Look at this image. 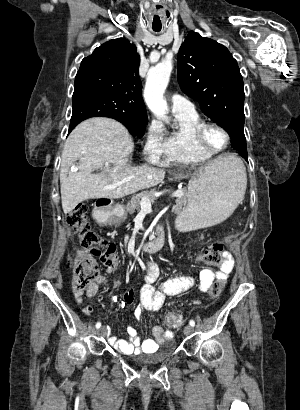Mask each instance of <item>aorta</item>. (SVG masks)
<instances>
[{"label": "aorta", "instance_id": "1", "mask_svg": "<svg viewBox=\"0 0 300 410\" xmlns=\"http://www.w3.org/2000/svg\"><path fill=\"white\" fill-rule=\"evenodd\" d=\"M172 68V60L166 58L150 69L144 89V98L148 108L154 115L162 119L166 118L168 112L167 102L163 94L168 85Z\"/></svg>", "mask_w": 300, "mask_h": 410}]
</instances>
